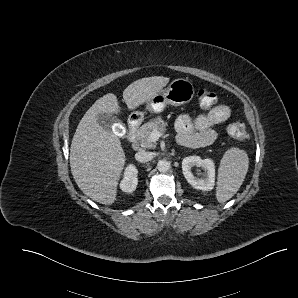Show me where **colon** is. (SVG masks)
I'll return each instance as SVG.
<instances>
[{"label": "colon", "instance_id": "5ec220e1", "mask_svg": "<svg viewBox=\"0 0 298 298\" xmlns=\"http://www.w3.org/2000/svg\"><path fill=\"white\" fill-rule=\"evenodd\" d=\"M197 98L199 104L204 108L211 107L217 101L216 94L209 89H200L197 92ZM227 132L232 138L241 142L249 139L248 128L246 124L241 120H237L231 123L227 128Z\"/></svg>", "mask_w": 298, "mask_h": 298}]
</instances>
